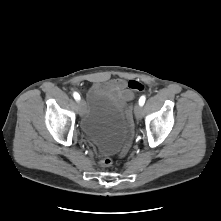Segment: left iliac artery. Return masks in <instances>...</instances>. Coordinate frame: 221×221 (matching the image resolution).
Wrapping results in <instances>:
<instances>
[{"label":"left iliac artery","instance_id":"left-iliac-artery-1","mask_svg":"<svg viewBox=\"0 0 221 221\" xmlns=\"http://www.w3.org/2000/svg\"><path fill=\"white\" fill-rule=\"evenodd\" d=\"M145 96H141L140 97V99H139V104L142 106V105H144V103H145Z\"/></svg>","mask_w":221,"mask_h":221}]
</instances>
